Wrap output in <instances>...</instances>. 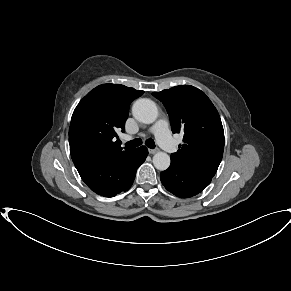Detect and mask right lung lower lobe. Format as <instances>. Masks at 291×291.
I'll return each mask as SVG.
<instances>
[{"mask_svg":"<svg viewBox=\"0 0 291 291\" xmlns=\"http://www.w3.org/2000/svg\"><path fill=\"white\" fill-rule=\"evenodd\" d=\"M147 155V148L141 146L110 161L83 156L72 157V160L82 180L92 191L104 197H114L131 187L137 168Z\"/></svg>","mask_w":291,"mask_h":291,"instance_id":"98d812e1","label":"right lung lower lobe"}]
</instances>
